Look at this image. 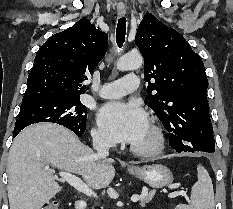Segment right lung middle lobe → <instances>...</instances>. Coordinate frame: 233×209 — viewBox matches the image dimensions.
I'll return each mask as SVG.
<instances>
[{
  "instance_id": "obj_1",
  "label": "right lung middle lobe",
  "mask_w": 233,
  "mask_h": 209,
  "mask_svg": "<svg viewBox=\"0 0 233 209\" xmlns=\"http://www.w3.org/2000/svg\"><path fill=\"white\" fill-rule=\"evenodd\" d=\"M87 108L79 98L44 99L22 103L15 129L38 122H53L72 131H85Z\"/></svg>"
}]
</instances>
